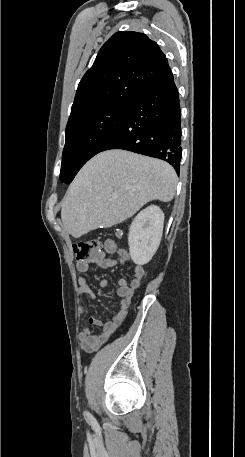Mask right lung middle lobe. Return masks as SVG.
Wrapping results in <instances>:
<instances>
[{
	"label": "right lung middle lobe",
	"instance_id": "dd1d6c3e",
	"mask_svg": "<svg viewBox=\"0 0 245 457\" xmlns=\"http://www.w3.org/2000/svg\"><path fill=\"white\" fill-rule=\"evenodd\" d=\"M132 103L115 101L68 120L60 181L69 184L114 134Z\"/></svg>",
	"mask_w": 245,
	"mask_h": 457
}]
</instances>
